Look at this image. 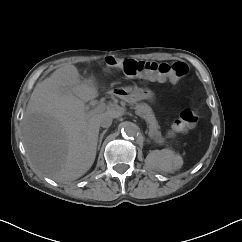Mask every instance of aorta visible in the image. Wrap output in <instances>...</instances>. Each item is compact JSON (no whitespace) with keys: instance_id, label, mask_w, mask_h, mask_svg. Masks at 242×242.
<instances>
[{"instance_id":"762f6f07","label":"aorta","mask_w":242,"mask_h":242,"mask_svg":"<svg viewBox=\"0 0 242 242\" xmlns=\"http://www.w3.org/2000/svg\"><path fill=\"white\" fill-rule=\"evenodd\" d=\"M122 131L129 137H136L138 135V126L132 122H126Z\"/></svg>"}]
</instances>
